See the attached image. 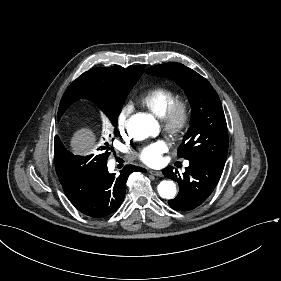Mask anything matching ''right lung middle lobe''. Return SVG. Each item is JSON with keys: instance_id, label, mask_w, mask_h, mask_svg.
<instances>
[{"instance_id": "obj_1", "label": "right lung middle lobe", "mask_w": 281, "mask_h": 281, "mask_svg": "<svg viewBox=\"0 0 281 281\" xmlns=\"http://www.w3.org/2000/svg\"><path fill=\"white\" fill-rule=\"evenodd\" d=\"M124 101L117 102V103H100L98 106L101 108V110L109 117L112 124L115 126L114 133L116 134V124H117V118L121 112L122 105ZM106 149L105 153L99 154L100 157H108L109 147L103 146L101 150ZM93 155L81 157V156H74L73 154H70V152L61 150V149H55V165H56V171L58 174L59 179H65V178H73L76 175L83 172L89 161H91V158Z\"/></svg>"}]
</instances>
